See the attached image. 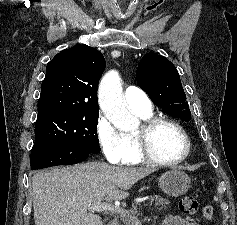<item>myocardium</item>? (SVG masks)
Returning <instances> with one entry per match:
<instances>
[{
  "label": "myocardium",
  "instance_id": "1",
  "mask_svg": "<svg viewBox=\"0 0 237 225\" xmlns=\"http://www.w3.org/2000/svg\"><path fill=\"white\" fill-rule=\"evenodd\" d=\"M167 125L175 128L185 141V152L175 160H164L158 158L151 147V136L160 126ZM133 139L136 145L137 154L141 161L160 166H174L183 162L190 154L191 141L185 129L176 121L161 117L149 118L144 120L138 132L134 133Z\"/></svg>",
  "mask_w": 237,
  "mask_h": 225
}]
</instances>
